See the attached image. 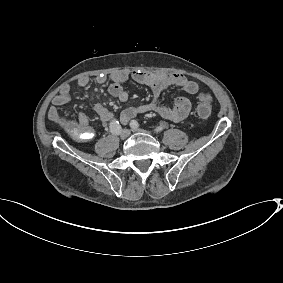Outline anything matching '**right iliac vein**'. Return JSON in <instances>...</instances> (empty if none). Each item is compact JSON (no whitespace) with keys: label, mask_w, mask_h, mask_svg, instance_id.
Masks as SVG:
<instances>
[{"label":"right iliac vein","mask_w":283,"mask_h":283,"mask_svg":"<svg viewBox=\"0 0 283 283\" xmlns=\"http://www.w3.org/2000/svg\"><path fill=\"white\" fill-rule=\"evenodd\" d=\"M130 135V131L128 129H123L120 134V138L122 140L126 139Z\"/></svg>","instance_id":"obj_1"}]
</instances>
